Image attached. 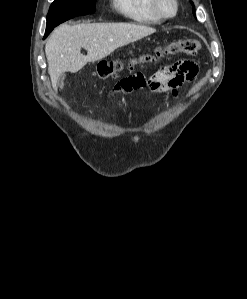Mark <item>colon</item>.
<instances>
[{"label": "colon", "mask_w": 247, "mask_h": 299, "mask_svg": "<svg viewBox=\"0 0 247 299\" xmlns=\"http://www.w3.org/2000/svg\"><path fill=\"white\" fill-rule=\"evenodd\" d=\"M200 48L201 44L199 40L195 38L181 39L156 49L154 53L141 57L139 61L151 62L164 56L176 55L179 53L196 55ZM135 63L136 61H131L129 62V66H133ZM123 67L124 64L118 60L102 61L97 66L96 75L99 79L104 80L115 76V74L121 71Z\"/></svg>", "instance_id": "1"}]
</instances>
